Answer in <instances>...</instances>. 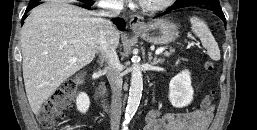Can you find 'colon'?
Listing matches in <instances>:
<instances>
[{"mask_svg": "<svg viewBox=\"0 0 257 130\" xmlns=\"http://www.w3.org/2000/svg\"><path fill=\"white\" fill-rule=\"evenodd\" d=\"M211 62L206 63V69L212 70ZM82 83V75L65 81L60 88H58L52 96L42 105L37 114V119L40 125L47 129H53L58 121L63 118L65 113L71 109L75 95ZM215 93L210 91L207 93L202 101L200 107L203 110H208L214 100Z\"/></svg>", "mask_w": 257, "mask_h": 130, "instance_id": "colon-1", "label": "colon"}]
</instances>
